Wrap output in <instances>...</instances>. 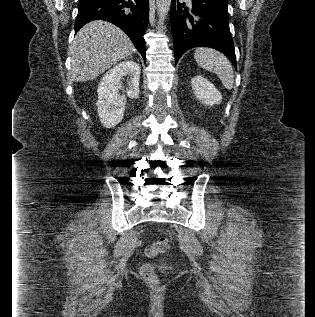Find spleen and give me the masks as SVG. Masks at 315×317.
<instances>
[{"mask_svg": "<svg viewBox=\"0 0 315 317\" xmlns=\"http://www.w3.org/2000/svg\"><path fill=\"white\" fill-rule=\"evenodd\" d=\"M194 59L203 69L216 73L227 89L233 88V67L222 53L214 49L201 47L196 49Z\"/></svg>", "mask_w": 315, "mask_h": 317, "instance_id": "spleen-1", "label": "spleen"}]
</instances>
